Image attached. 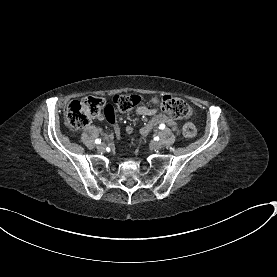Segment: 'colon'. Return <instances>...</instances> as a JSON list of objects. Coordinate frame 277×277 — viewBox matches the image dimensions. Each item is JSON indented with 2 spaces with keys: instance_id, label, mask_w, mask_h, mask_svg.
Returning <instances> with one entry per match:
<instances>
[{
  "instance_id": "5ec220e1",
  "label": "colon",
  "mask_w": 277,
  "mask_h": 277,
  "mask_svg": "<svg viewBox=\"0 0 277 277\" xmlns=\"http://www.w3.org/2000/svg\"><path fill=\"white\" fill-rule=\"evenodd\" d=\"M153 103L158 106L163 113L173 117L187 119L192 114L190 105L176 96H157L153 99ZM113 104L118 105L119 110L127 111L135 107L137 103L133 95L121 94L113 97ZM104 108L105 101L101 94H90L84 101L81 99H72L68 110L70 127L73 130H78L87 126L91 121L99 120ZM182 132L185 137L192 138L196 134V128L193 124L186 122L183 125Z\"/></svg>"
}]
</instances>
